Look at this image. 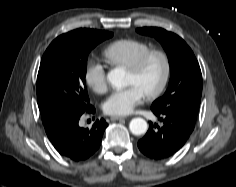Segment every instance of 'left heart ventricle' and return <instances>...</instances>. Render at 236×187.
<instances>
[{"mask_svg":"<svg viewBox=\"0 0 236 187\" xmlns=\"http://www.w3.org/2000/svg\"><path fill=\"white\" fill-rule=\"evenodd\" d=\"M163 76V63L160 58H151L140 74L134 75L128 71L127 85L137 86L143 94L154 90Z\"/></svg>","mask_w":236,"mask_h":187,"instance_id":"b2bd125f","label":"left heart ventricle"}]
</instances>
